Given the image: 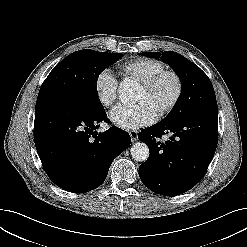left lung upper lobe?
<instances>
[{"label":"left lung upper lobe","instance_id":"5c2ea615","mask_svg":"<svg viewBox=\"0 0 247 247\" xmlns=\"http://www.w3.org/2000/svg\"><path fill=\"white\" fill-rule=\"evenodd\" d=\"M144 56L158 58V52H142ZM162 60L169 64L182 83L181 95L163 121H175L192 115L218 114L212 83L208 76L187 58L173 51H165Z\"/></svg>","mask_w":247,"mask_h":247}]
</instances>
